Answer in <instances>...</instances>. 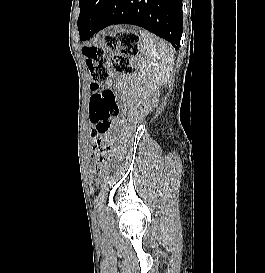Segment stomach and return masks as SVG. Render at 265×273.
I'll return each mask as SVG.
<instances>
[{"mask_svg": "<svg viewBox=\"0 0 265 273\" xmlns=\"http://www.w3.org/2000/svg\"><path fill=\"white\" fill-rule=\"evenodd\" d=\"M136 25H116V30H136Z\"/></svg>", "mask_w": 265, "mask_h": 273, "instance_id": "stomach-1", "label": "stomach"}]
</instances>
